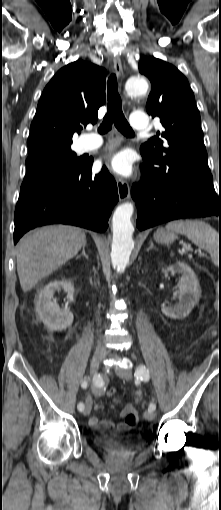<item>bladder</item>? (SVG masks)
Listing matches in <instances>:
<instances>
[{
    "mask_svg": "<svg viewBox=\"0 0 221 510\" xmlns=\"http://www.w3.org/2000/svg\"><path fill=\"white\" fill-rule=\"evenodd\" d=\"M94 443L99 449L109 453L135 452L145 446L143 437H131L117 433L98 436L94 439Z\"/></svg>",
    "mask_w": 221,
    "mask_h": 510,
    "instance_id": "obj_1",
    "label": "bladder"
}]
</instances>
